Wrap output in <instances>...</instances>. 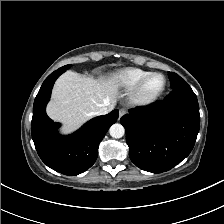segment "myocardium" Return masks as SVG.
Listing matches in <instances>:
<instances>
[{
    "label": "myocardium",
    "mask_w": 224,
    "mask_h": 224,
    "mask_svg": "<svg viewBox=\"0 0 224 224\" xmlns=\"http://www.w3.org/2000/svg\"><path fill=\"white\" fill-rule=\"evenodd\" d=\"M154 75H161L164 77V81H165L164 86L161 89V91L158 92L157 94H155L154 96L144 97L142 95V89H143L145 83L148 81V79ZM167 85H168V79L165 74H163L161 72H150L146 76H144L137 84H135L132 87V89L129 93V101L132 105L139 106V107L151 105L154 102H156L163 95V93L165 92V90L167 88Z\"/></svg>",
    "instance_id": "myocardium-1"
}]
</instances>
